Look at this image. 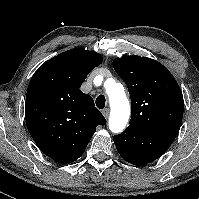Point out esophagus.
<instances>
[{
    "instance_id": "esophagus-1",
    "label": "esophagus",
    "mask_w": 199,
    "mask_h": 199,
    "mask_svg": "<svg viewBox=\"0 0 199 199\" xmlns=\"http://www.w3.org/2000/svg\"><path fill=\"white\" fill-rule=\"evenodd\" d=\"M109 113H110L109 108H105V109L102 111V114L104 115V117H105L106 119L109 117Z\"/></svg>"
}]
</instances>
